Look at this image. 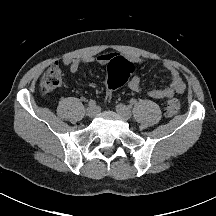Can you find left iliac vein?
<instances>
[{
    "label": "left iliac vein",
    "mask_w": 216,
    "mask_h": 216,
    "mask_svg": "<svg viewBox=\"0 0 216 216\" xmlns=\"http://www.w3.org/2000/svg\"><path fill=\"white\" fill-rule=\"evenodd\" d=\"M116 111L118 112V114L122 117V118H124V119H126V120H129L130 118H131V110H130V108L129 107H127L126 105H124V104H118L117 106H116Z\"/></svg>",
    "instance_id": "left-iliac-vein-1"
}]
</instances>
